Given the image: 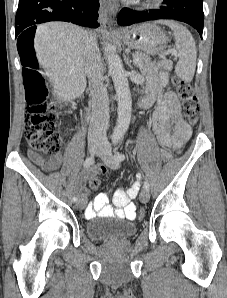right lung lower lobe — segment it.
<instances>
[{
  "instance_id": "1",
  "label": "right lung lower lobe",
  "mask_w": 227,
  "mask_h": 298,
  "mask_svg": "<svg viewBox=\"0 0 227 298\" xmlns=\"http://www.w3.org/2000/svg\"><path fill=\"white\" fill-rule=\"evenodd\" d=\"M99 0H19L15 18L17 48L23 66L31 65L32 39L35 24L48 21H67L77 25L97 28ZM27 70L23 68V76Z\"/></svg>"
}]
</instances>
